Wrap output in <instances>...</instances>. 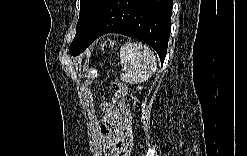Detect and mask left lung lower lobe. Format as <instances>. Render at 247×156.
Here are the masks:
<instances>
[{"label": "left lung lower lobe", "mask_w": 247, "mask_h": 156, "mask_svg": "<svg viewBox=\"0 0 247 156\" xmlns=\"http://www.w3.org/2000/svg\"><path fill=\"white\" fill-rule=\"evenodd\" d=\"M172 0H107L86 34L83 51L106 33H120L151 46L164 62L171 29Z\"/></svg>", "instance_id": "0a47b994"}]
</instances>
